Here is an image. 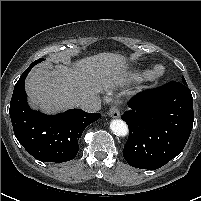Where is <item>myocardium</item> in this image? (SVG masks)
<instances>
[{
    "mask_svg": "<svg viewBox=\"0 0 201 201\" xmlns=\"http://www.w3.org/2000/svg\"><path fill=\"white\" fill-rule=\"evenodd\" d=\"M165 75V67L162 65L154 66L145 76L148 82H157Z\"/></svg>",
    "mask_w": 201,
    "mask_h": 201,
    "instance_id": "f54148a6",
    "label": "myocardium"
}]
</instances>
